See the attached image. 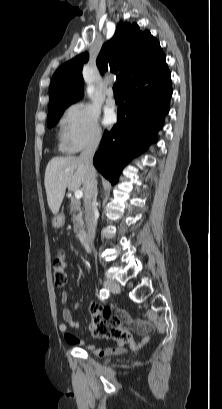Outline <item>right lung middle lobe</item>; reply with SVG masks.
<instances>
[{
	"label": "right lung middle lobe",
	"mask_w": 222,
	"mask_h": 409,
	"mask_svg": "<svg viewBox=\"0 0 222 409\" xmlns=\"http://www.w3.org/2000/svg\"><path fill=\"white\" fill-rule=\"evenodd\" d=\"M67 107L68 106L53 109L48 112L47 125L49 128H52L53 126L56 125V123L59 121V118L61 117V115L63 114L64 110Z\"/></svg>",
	"instance_id": "obj_1"
}]
</instances>
